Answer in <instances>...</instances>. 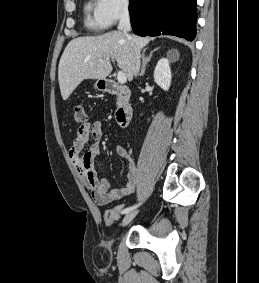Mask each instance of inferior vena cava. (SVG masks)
I'll return each mask as SVG.
<instances>
[{
  "mask_svg": "<svg viewBox=\"0 0 259 283\" xmlns=\"http://www.w3.org/2000/svg\"><path fill=\"white\" fill-rule=\"evenodd\" d=\"M118 29L122 31L124 34L128 36V32L131 31V25H130V16L128 12V8L125 7L122 10V13L120 15L119 25ZM134 75L137 76L140 69V53L137 50H134Z\"/></svg>",
  "mask_w": 259,
  "mask_h": 283,
  "instance_id": "inferior-vena-cava-1",
  "label": "inferior vena cava"
}]
</instances>
